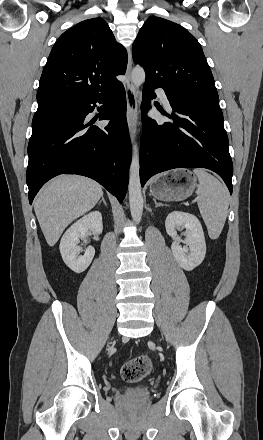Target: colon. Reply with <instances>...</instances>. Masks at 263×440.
I'll use <instances>...</instances> for the list:
<instances>
[{
    "instance_id": "colon-1",
    "label": "colon",
    "mask_w": 263,
    "mask_h": 440,
    "mask_svg": "<svg viewBox=\"0 0 263 440\" xmlns=\"http://www.w3.org/2000/svg\"><path fill=\"white\" fill-rule=\"evenodd\" d=\"M151 369V358L147 355H139L122 365L120 375L124 381L135 383L147 376Z\"/></svg>"
}]
</instances>
